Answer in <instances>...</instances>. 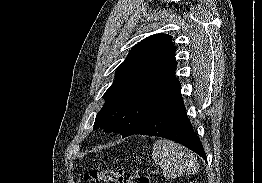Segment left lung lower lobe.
I'll use <instances>...</instances> for the list:
<instances>
[{
    "instance_id": "0a47b994",
    "label": "left lung lower lobe",
    "mask_w": 262,
    "mask_h": 183,
    "mask_svg": "<svg viewBox=\"0 0 262 183\" xmlns=\"http://www.w3.org/2000/svg\"><path fill=\"white\" fill-rule=\"evenodd\" d=\"M134 134L158 136L191 149L206 162V154L187 117L180 88L152 114L146 125Z\"/></svg>"
}]
</instances>
